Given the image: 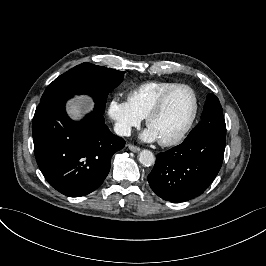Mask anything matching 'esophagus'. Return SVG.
<instances>
[{
  "label": "esophagus",
  "instance_id": "obj_1",
  "mask_svg": "<svg viewBox=\"0 0 266 266\" xmlns=\"http://www.w3.org/2000/svg\"><path fill=\"white\" fill-rule=\"evenodd\" d=\"M128 148L132 151V152H139L140 151V148L137 147V146H134L132 144H128Z\"/></svg>",
  "mask_w": 266,
  "mask_h": 266
}]
</instances>
